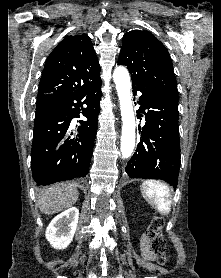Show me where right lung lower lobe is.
<instances>
[{"mask_svg": "<svg viewBox=\"0 0 221 278\" xmlns=\"http://www.w3.org/2000/svg\"><path fill=\"white\" fill-rule=\"evenodd\" d=\"M101 80L68 93L37 100L48 111L35 117L31 150L32 176L37 185H49L88 174L100 112ZM83 104L87 108H83ZM77 133L71 120L80 112Z\"/></svg>", "mask_w": 221, "mask_h": 278, "instance_id": "1", "label": "right lung lower lobe"}]
</instances>
